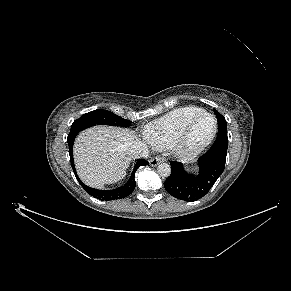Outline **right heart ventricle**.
<instances>
[{
    "instance_id": "right-heart-ventricle-1",
    "label": "right heart ventricle",
    "mask_w": 291,
    "mask_h": 291,
    "mask_svg": "<svg viewBox=\"0 0 291 291\" xmlns=\"http://www.w3.org/2000/svg\"><path fill=\"white\" fill-rule=\"evenodd\" d=\"M205 111L195 106H187L170 111L147 125L144 136L157 148L170 146L184 127L196 116Z\"/></svg>"
}]
</instances>
